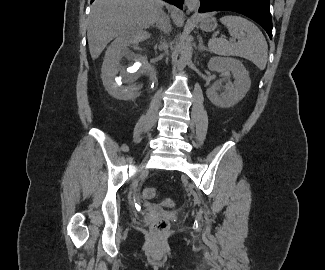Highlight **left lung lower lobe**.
<instances>
[{"label": "left lung lower lobe", "mask_w": 325, "mask_h": 270, "mask_svg": "<svg viewBox=\"0 0 325 270\" xmlns=\"http://www.w3.org/2000/svg\"><path fill=\"white\" fill-rule=\"evenodd\" d=\"M199 12L233 11L243 14L261 25L272 38L270 0H200Z\"/></svg>", "instance_id": "1"}]
</instances>
